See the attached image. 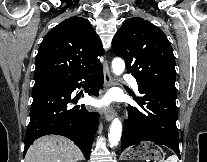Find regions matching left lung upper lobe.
<instances>
[{
	"label": "left lung upper lobe",
	"mask_w": 207,
	"mask_h": 162,
	"mask_svg": "<svg viewBox=\"0 0 207 162\" xmlns=\"http://www.w3.org/2000/svg\"><path fill=\"white\" fill-rule=\"evenodd\" d=\"M112 49L125 59L138 87L176 90L175 59L164 32L140 17L127 19L115 34Z\"/></svg>",
	"instance_id": "1"
}]
</instances>
